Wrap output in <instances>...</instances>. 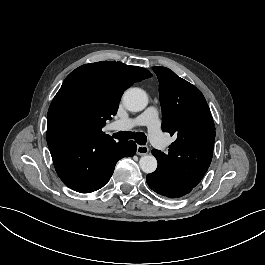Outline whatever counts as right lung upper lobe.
<instances>
[{
  "mask_svg": "<svg viewBox=\"0 0 265 265\" xmlns=\"http://www.w3.org/2000/svg\"><path fill=\"white\" fill-rule=\"evenodd\" d=\"M151 76L152 74L144 68L121 62L103 61L85 64L66 77L55 97L71 89H81L93 95L103 103L107 111V116L101 124L102 129L106 120L116 114L123 92L134 82ZM101 129L97 135L104 134Z\"/></svg>",
  "mask_w": 265,
  "mask_h": 265,
  "instance_id": "1",
  "label": "right lung upper lobe"
}]
</instances>
